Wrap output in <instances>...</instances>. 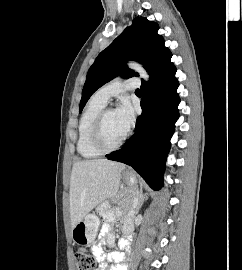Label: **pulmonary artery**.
<instances>
[{"label":"pulmonary artery","mask_w":242,"mask_h":270,"mask_svg":"<svg viewBox=\"0 0 242 270\" xmlns=\"http://www.w3.org/2000/svg\"><path fill=\"white\" fill-rule=\"evenodd\" d=\"M140 86V83L137 78H129L127 80H113L108 84L104 85L94 94V97L97 100H100L104 103H107L108 100L123 91L134 90Z\"/></svg>","instance_id":"obj_1"}]
</instances>
